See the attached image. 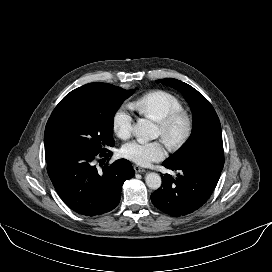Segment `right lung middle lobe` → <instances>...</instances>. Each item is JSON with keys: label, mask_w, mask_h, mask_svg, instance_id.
Instances as JSON below:
<instances>
[{"label": "right lung middle lobe", "mask_w": 272, "mask_h": 272, "mask_svg": "<svg viewBox=\"0 0 272 272\" xmlns=\"http://www.w3.org/2000/svg\"><path fill=\"white\" fill-rule=\"evenodd\" d=\"M94 84L95 103L51 114L44 135L46 161L69 153L98 155L114 146V113L135 90Z\"/></svg>", "instance_id": "right-lung-middle-lobe-1"}]
</instances>
